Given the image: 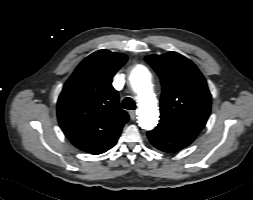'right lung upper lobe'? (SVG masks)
Instances as JSON below:
<instances>
[{
    "mask_svg": "<svg viewBox=\"0 0 253 200\" xmlns=\"http://www.w3.org/2000/svg\"><path fill=\"white\" fill-rule=\"evenodd\" d=\"M127 56L99 50L86 57L67 80L57 103L58 122L79 149L101 154L114 146L128 114L111 85Z\"/></svg>",
    "mask_w": 253,
    "mask_h": 200,
    "instance_id": "right-lung-upper-lobe-1",
    "label": "right lung upper lobe"
}]
</instances>
